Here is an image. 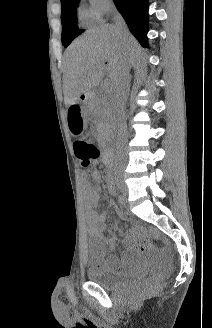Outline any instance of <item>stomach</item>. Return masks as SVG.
<instances>
[{
	"label": "stomach",
	"mask_w": 212,
	"mask_h": 328,
	"mask_svg": "<svg viewBox=\"0 0 212 328\" xmlns=\"http://www.w3.org/2000/svg\"><path fill=\"white\" fill-rule=\"evenodd\" d=\"M67 128L70 135H83L82 124H84L82 102H67Z\"/></svg>",
	"instance_id": "stomach-1"
}]
</instances>
